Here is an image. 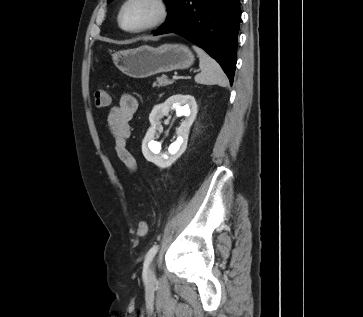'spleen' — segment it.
<instances>
[{"label":"spleen","instance_id":"1","mask_svg":"<svg viewBox=\"0 0 363 317\" xmlns=\"http://www.w3.org/2000/svg\"><path fill=\"white\" fill-rule=\"evenodd\" d=\"M193 49L198 54L201 69V73L194 78L195 82L206 85L218 84L226 87L229 81L219 63L200 47L194 45Z\"/></svg>","mask_w":363,"mask_h":317}]
</instances>
